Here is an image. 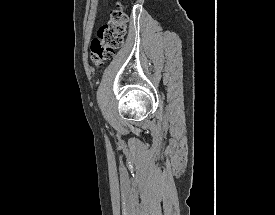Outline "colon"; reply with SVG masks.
<instances>
[{
  "label": "colon",
  "mask_w": 275,
  "mask_h": 215,
  "mask_svg": "<svg viewBox=\"0 0 275 215\" xmlns=\"http://www.w3.org/2000/svg\"><path fill=\"white\" fill-rule=\"evenodd\" d=\"M124 10L125 4L119 0L117 8L111 13L110 20L100 27L98 37L91 41L90 60L96 66L112 60L116 51L122 46L127 21Z\"/></svg>",
  "instance_id": "1"
}]
</instances>
